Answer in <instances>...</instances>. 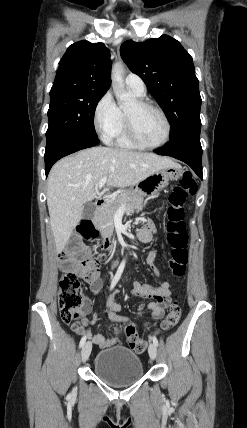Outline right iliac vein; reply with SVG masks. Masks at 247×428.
Wrapping results in <instances>:
<instances>
[{
	"mask_svg": "<svg viewBox=\"0 0 247 428\" xmlns=\"http://www.w3.org/2000/svg\"><path fill=\"white\" fill-rule=\"evenodd\" d=\"M92 350V343L90 341L86 342L81 350V359L83 362H86L90 356Z\"/></svg>",
	"mask_w": 247,
	"mask_h": 428,
	"instance_id": "right-iliac-vein-1",
	"label": "right iliac vein"
}]
</instances>
